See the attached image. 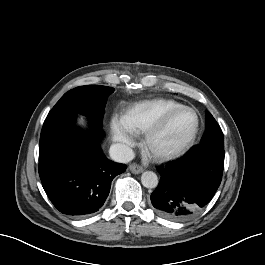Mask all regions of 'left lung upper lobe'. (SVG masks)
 Returning a JSON list of instances; mask_svg holds the SVG:
<instances>
[{
  "label": "left lung upper lobe",
  "mask_w": 265,
  "mask_h": 265,
  "mask_svg": "<svg viewBox=\"0 0 265 265\" xmlns=\"http://www.w3.org/2000/svg\"><path fill=\"white\" fill-rule=\"evenodd\" d=\"M208 143L224 145V136L222 130L209 111L206 112L205 133L203 135L201 143L198 146Z\"/></svg>",
  "instance_id": "obj_1"
}]
</instances>
